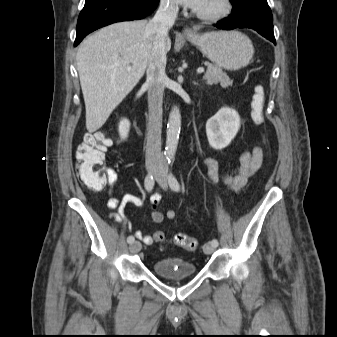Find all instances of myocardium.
<instances>
[{
    "mask_svg": "<svg viewBox=\"0 0 337 337\" xmlns=\"http://www.w3.org/2000/svg\"><path fill=\"white\" fill-rule=\"evenodd\" d=\"M218 8L211 12L196 11V16L204 21L217 22L227 18L233 10L232 0H218Z\"/></svg>",
    "mask_w": 337,
    "mask_h": 337,
    "instance_id": "f54148a6",
    "label": "myocardium"
}]
</instances>
